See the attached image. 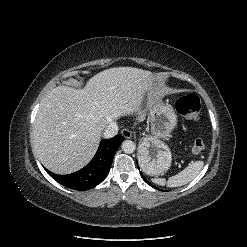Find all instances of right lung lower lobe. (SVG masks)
Returning a JSON list of instances; mask_svg holds the SVG:
<instances>
[{"label":"right lung lower lobe","mask_w":247,"mask_h":247,"mask_svg":"<svg viewBox=\"0 0 247 247\" xmlns=\"http://www.w3.org/2000/svg\"><path fill=\"white\" fill-rule=\"evenodd\" d=\"M123 142L121 134L100 143L93 159L81 170L68 175H56L46 170L58 183L71 189L88 190L101 183L107 176L113 157Z\"/></svg>","instance_id":"1"}]
</instances>
